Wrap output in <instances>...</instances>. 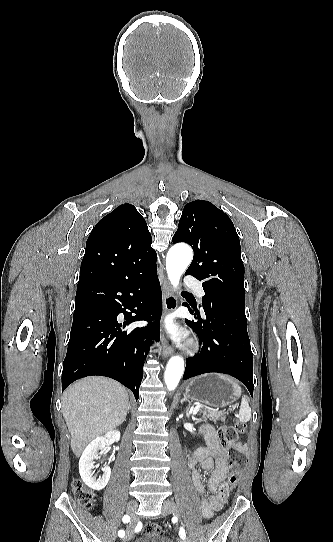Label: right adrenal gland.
<instances>
[{"label":"right adrenal gland","instance_id":"2a0ac1e0","mask_svg":"<svg viewBox=\"0 0 333 542\" xmlns=\"http://www.w3.org/2000/svg\"><path fill=\"white\" fill-rule=\"evenodd\" d=\"M129 410H131V404H129Z\"/></svg>","mask_w":333,"mask_h":542}]
</instances>
